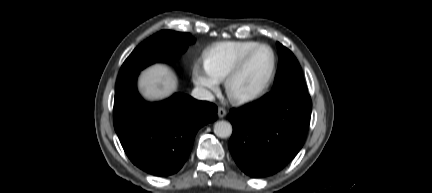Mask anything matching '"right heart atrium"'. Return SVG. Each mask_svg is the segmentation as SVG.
Instances as JSON below:
<instances>
[{"label": "right heart atrium", "instance_id": "1", "mask_svg": "<svg viewBox=\"0 0 432 193\" xmlns=\"http://www.w3.org/2000/svg\"><path fill=\"white\" fill-rule=\"evenodd\" d=\"M194 83L202 89L215 92L218 89V81L207 71L205 66L195 63L192 68Z\"/></svg>", "mask_w": 432, "mask_h": 193}]
</instances>
